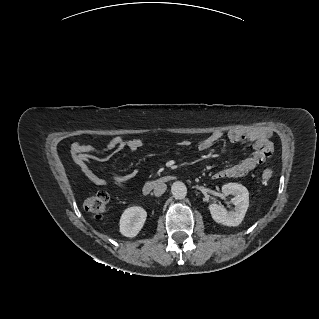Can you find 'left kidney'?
<instances>
[{
    "instance_id": "obj_1",
    "label": "left kidney",
    "mask_w": 319,
    "mask_h": 319,
    "mask_svg": "<svg viewBox=\"0 0 319 319\" xmlns=\"http://www.w3.org/2000/svg\"><path fill=\"white\" fill-rule=\"evenodd\" d=\"M224 195H233L231 199L235 205V210L227 211L223 205L212 203L209 210L213 220L226 226H238L249 207V192L246 187L238 183H228L222 186Z\"/></svg>"
}]
</instances>
